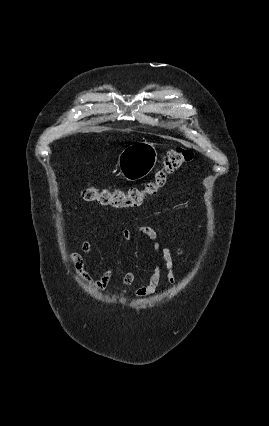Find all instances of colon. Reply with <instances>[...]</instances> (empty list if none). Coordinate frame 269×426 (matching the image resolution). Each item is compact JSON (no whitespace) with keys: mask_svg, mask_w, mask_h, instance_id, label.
<instances>
[{"mask_svg":"<svg viewBox=\"0 0 269 426\" xmlns=\"http://www.w3.org/2000/svg\"><path fill=\"white\" fill-rule=\"evenodd\" d=\"M193 158L194 153L191 150L184 148L170 150L164 155L162 164L156 169L152 179L142 186L131 187L127 190L99 189L90 186L84 189L83 197L87 201L115 209L138 206L146 198L155 195L164 186L169 175L190 163Z\"/></svg>","mask_w":269,"mask_h":426,"instance_id":"5ec220e1","label":"colon"}]
</instances>
